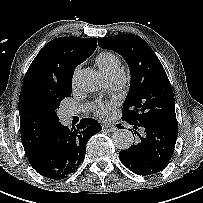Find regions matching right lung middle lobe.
<instances>
[{"label": "right lung middle lobe", "instance_id": "right-lung-middle-lobe-1", "mask_svg": "<svg viewBox=\"0 0 203 203\" xmlns=\"http://www.w3.org/2000/svg\"><path fill=\"white\" fill-rule=\"evenodd\" d=\"M71 95V90L68 91H63L58 93L57 95H55L54 97L51 98L49 104H50V109L52 114L54 115V117L56 119H59L57 116V109L60 106L61 101L65 98V97H69Z\"/></svg>", "mask_w": 203, "mask_h": 203}]
</instances>
